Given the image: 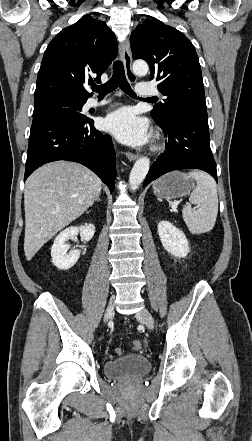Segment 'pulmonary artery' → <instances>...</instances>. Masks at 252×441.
I'll use <instances>...</instances> for the list:
<instances>
[{
  "label": "pulmonary artery",
  "instance_id": "e3ab8cb5",
  "mask_svg": "<svg viewBox=\"0 0 252 441\" xmlns=\"http://www.w3.org/2000/svg\"><path fill=\"white\" fill-rule=\"evenodd\" d=\"M136 93L140 97H151V96L157 95L159 92L156 88H154L150 84L144 83V84H138L136 86ZM108 102H109L108 99L98 100L95 98H91L87 101L86 108L89 109V108L99 107V106H102Z\"/></svg>",
  "mask_w": 252,
  "mask_h": 441
}]
</instances>
